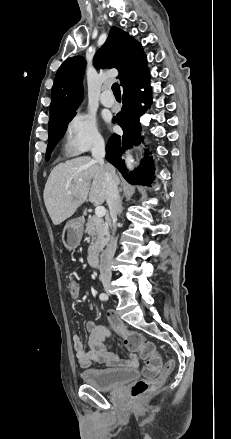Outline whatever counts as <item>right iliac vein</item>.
<instances>
[{"label": "right iliac vein", "instance_id": "obj_1", "mask_svg": "<svg viewBox=\"0 0 231 439\" xmlns=\"http://www.w3.org/2000/svg\"><path fill=\"white\" fill-rule=\"evenodd\" d=\"M104 289L107 293L111 291V286L109 284L104 285Z\"/></svg>", "mask_w": 231, "mask_h": 439}]
</instances>
